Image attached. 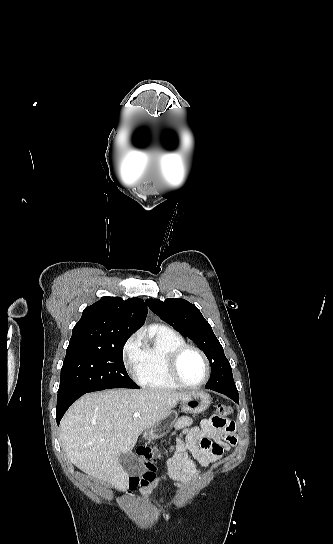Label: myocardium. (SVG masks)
I'll return each instance as SVG.
<instances>
[{"label": "myocardium", "mask_w": 333, "mask_h": 544, "mask_svg": "<svg viewBox=\"0 0 333 544\" xmlns=\"http://www.w3.org/2000/svg\"><path fill=\"white\" fill-rule=\"evenodd\" d=\"M190 351L197 353L202 358L206 367V376L204 380L198 384H189L185 382L180 374V362L183 356ZM167 370H168V374L170 378L177 385L183 388H188V389H198L203 387L204 385L207 384V382L209 381L211 377V365H210L208 357L200 348L190 344L180 345L170 352L167 359Z\"/></svg>", "instance_id": "myocardium-1"}]
</instances>
